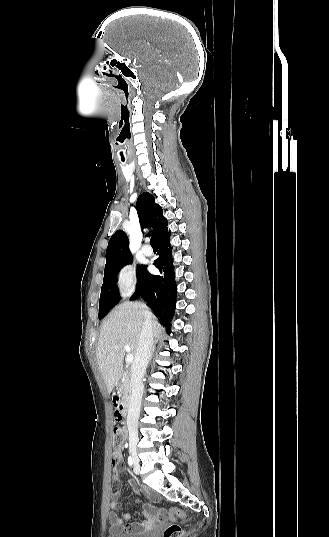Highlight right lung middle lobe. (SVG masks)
<instances>
[{
    "label": "right lung middle lobe",
    "instance_id": "right-lung-middle-lobe-1",
    "mask_svg": "<svg viewBox=\"0 0 329 537\" xmlns=\"http://www.w3.org/2000/svg\"><path fill=\"white\" fill-rule=\"evenodd\" d=\"M129 263H132L131 258L105 267L99 303V318L106 316L108 311L119 302L120 296L116 287V276L120 269ZM142 270L143 266L137 269V286L140 282Z\"/></svg>",
    "mask_w": 329,
    "mask_h": 537
}]
</instances>
